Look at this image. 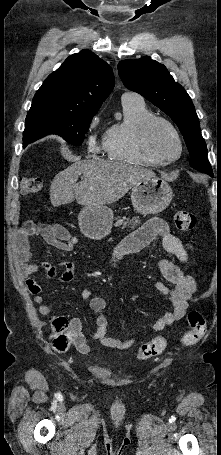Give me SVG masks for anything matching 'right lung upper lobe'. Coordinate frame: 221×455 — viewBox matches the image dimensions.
<instances>
[{"label":"right lung upper lobe","instance_id":"1","mask_svg":"<svg viewBox=\"0 0 221 455\" xmlns=\"http://www.w3.org/2000/svg\"><path fill=\"white\" fill-rule=\"evenodd\" d=\"M114 87L111 67L84 49L69 56L36 92L32 106L97 112Z\"/></svg>","mask_w":221,"mask_h":455}]
</instances>
